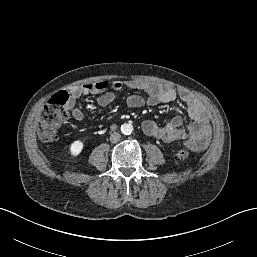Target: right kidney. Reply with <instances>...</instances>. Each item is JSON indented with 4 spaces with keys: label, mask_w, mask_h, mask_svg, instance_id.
Masks as SVG:
<instances>
[{
    "label": "right kidney",
    "mask_w": 257,
    "mask_h": 257,
    "mask_svg": "<svg viewBox=\"0 0 257 257\" xmlns=\"http://www.w3.org/2000/svg\"><path fill=\"white\" fill-rule=\"evenodd\" d=\"M84 147V143L81 140H76L70 145V154L72 156H78Z\"/></svg>",
    "instance_id": "right-kidney-1"
}]
</instances>
